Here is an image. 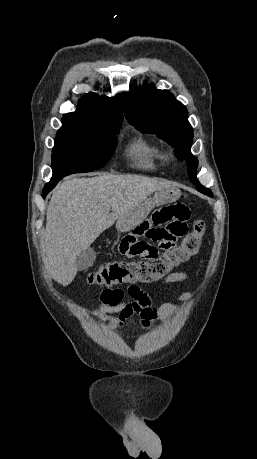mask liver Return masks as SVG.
<instances>
[{
	"label": "liver",
	"instance_id": "liver-1",
	"mask_svg": "<svg viewBox=\"0 0 257 459\" xmlns=\"http://www.w3.org/2000/svg\"><path fill=\"white\" fill-rule=\"evenodd\" d=\"M170 185L140 175L104 174L63 182L52 194L43 236L44 264L63 286L77 274L76 256L149 195Z\"/></svg>",
	"mask_w": 257,
	"mask_h": 459
}]
</instances>
